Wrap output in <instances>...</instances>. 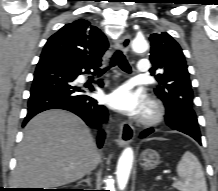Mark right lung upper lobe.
Segmentation results:
<instances>
[{"label": "right lung upper lobe", "instance_id": "right-lung-upper-lobe-1", "mask_svg": "<svg viewBox=\"0 0 218 191\" xmlns=\"http://www.w3.org/2000/svg\"><path fill=\"white\" fill-rule=\"evenodd\" d=\"M107 49L105 35L87 20L79 19L66 24L52 35L41 56L58 55L77 62L101 63Z\"/></svg>", "mask_w": 218, "mask_h": 191}]
</instances>
